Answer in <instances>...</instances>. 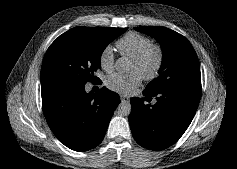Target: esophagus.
<instances>
[{"label": "esophagus", "instance_id": "1", "mask_svg": "<svg viewBox=\"0 0 237 169\" xmlns=\"http://www.w3.org/2000/svg\"><path fill=\"white\" fill-rule=\"evenodd\" d=\"M120 99H121V102H125V103H128L130 101L128 97L123 96V95L120 96Z\"/></svg>", "mask_w": 237, "mask_h": 169}]
</instances>
